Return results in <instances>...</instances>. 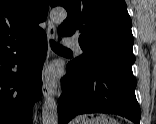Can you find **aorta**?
Masks as SVG:
<instances>
[{"instance_id": "aorta-1", "label": "aorta", "mask_w": 156, "mask_h": 124, "mask_svg": "<svg viewBox=\"0 0 156 124\" xmlns=\"http://www.w3.org/2000/svg\"><path fill=\"white\" fill-rule=\"evenodd\" d=\"M67 17L63 8H55L50 12V19L54 23H62ZM42 124H58L57 104L54 98L47 97L42 106Z\"/></svg>"}]
</instances>
